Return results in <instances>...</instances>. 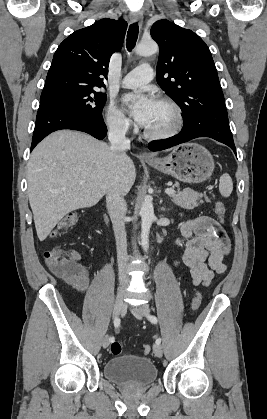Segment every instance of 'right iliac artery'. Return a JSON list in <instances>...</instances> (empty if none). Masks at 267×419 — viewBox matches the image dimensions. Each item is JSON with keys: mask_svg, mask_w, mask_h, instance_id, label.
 <instances>
[{"mask_svg": "<svg viewBox=\"0 0 267 419\" xmlns=\"http://www.w3.org/2000/svg\"><path fill=\"white\" fill-rule=\"evenodd\" d=\"M120 326V319L118 318V317H116L115 319H114V327L115 328H118ZM114 340V337H110L109 338V341H113Z\"/></svg>", "mask_w": 267, "mask_h": 419, "instance_id": "right-iliac-artery-1", "label": "right iliac artery"}]
</instances>
